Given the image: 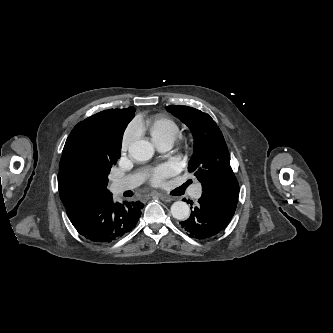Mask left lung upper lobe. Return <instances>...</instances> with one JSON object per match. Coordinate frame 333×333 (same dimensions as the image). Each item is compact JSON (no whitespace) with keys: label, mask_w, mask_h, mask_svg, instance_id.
<instances>
[{"label":"left lung upper lobe","mask_w":333,"mask_h":333,"mask_svg":"<svg viewBox=\"0 0 333 333\" xmlns=\"http://www.w3.org/2000/svg\"><path fill=\"white\" fill-rule=\"evenodd\" d=\"M194 136V155L188 171L202 184L203 192L215 197L238 198L239 185L230 166V156L222 132L207 114L188 106H168Z\"/></svg>","instance_id":"5c2ea615"}]
</instances>
